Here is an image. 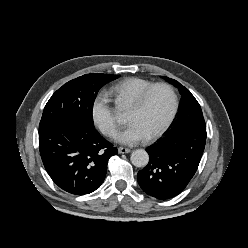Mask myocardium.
I'll return each mask as SVG.
<instances>
[{"mask_svg":"<svg viewBox=\"0 0 248 248\" xmlns=\"http://www.w3.org/2000/svg\"><path fill=\"white\" fill-rule=\"evenodd\" d=\"M160 87L166 88L170 92L171 97H172V109H171V112H170V115H169L168 119L163 124V126L158 131H156L155 133H153L152 135H150V136H148L146 138L149 141H153V140H156L159 137H161L170 128V126L172 125V123H173V121H174V119L176 117L177 111H178V96H177V93H176L175 89L168 83H163V82L154 83L151 86H149L147 89H145L135 99V101L131 104V107L133 109H135V110L141 109L145 105L146 100H147L148 96L151 94V92L153 90H155L156 88H160Z\"/></svg>","mask_w":248,"mask_h":248,"instance_id":"myocardium-1","label":"myocardium"}]
</instances>
